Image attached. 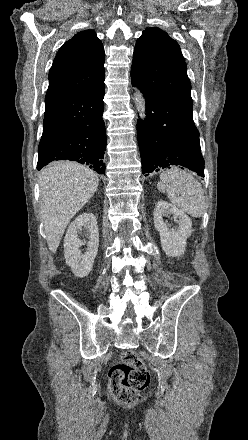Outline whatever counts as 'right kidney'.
Instances as JSON below:
<instances>
[{
    "label": "right kidney",
    "instance_id": "ca27d5eb",
    "mask_svg": "<svg viewBox=\"0 0 248 440\" xmlns=\"http://www.w3.org/2000/svg\"><path fill=\"white\" fill-rule=\"evenodd\" d=\"M82 232L89 239L86 253L82 254L80 247L83 242L78 238ZM99 246V231L96 218L91 213L79 215L68 227L64 238V257L66 264L71 267L77 277L87 276L93 267Z\"/></svg>",
    "mask_w": 248,
    "mask_h": 440
}]
</instances>
